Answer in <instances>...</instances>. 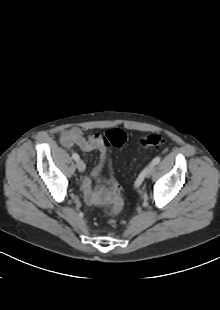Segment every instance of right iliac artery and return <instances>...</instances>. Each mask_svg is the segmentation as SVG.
I'll use <instances>...</instances> for the list:
<instances>
[{"instance_id": "obj_1", "label": "right iliac artery", "mask_w": 220, "mask_h": 310, "mask_svg": "<svg viewBox=\"0 0 220 310\" xmlns=\"http://www.w3.org/2000/svg\"><path fill=\"white\" fill-rule=\"evenodd\" d=\"M72 158L75 160V161H78L79 160V155L77 153H74L72 155Z\"/></svg>"}]
</instances>
